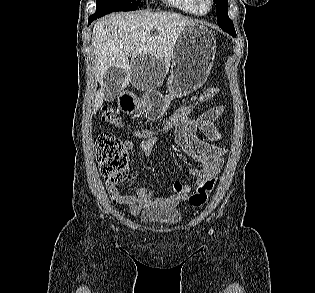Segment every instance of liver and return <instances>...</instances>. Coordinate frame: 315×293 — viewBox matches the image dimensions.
Masks as SVG:
<instances>
[{
	"label": "liver",
	"instance_id": "1",
	"mask_svg": "<svg viewBox=\"0 0 315 293\" xmlns=\"http://www.w3.org/2000/svg\"><path fill=\"white\" fill-rule=\"evenodd\" d=\"M196 21L173 12H132L112 14L98 20L93 28L92 46L95 56L96 79L101 86L104 72L116 67L126 72L120 90L132 80L129 55H150L168 67L174 44L181 31ZM153 31L157 33L152 34ZM133 47V49H131ZM104 90L95 94L93 114L102 106Z\"/></svg>",
	"mask_w": 315,
	"mask_h": 293
}]
</instances>
